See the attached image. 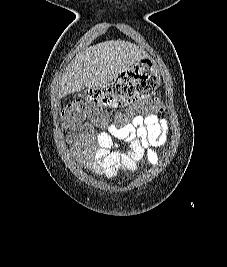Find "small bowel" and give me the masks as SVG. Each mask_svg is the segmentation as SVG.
Instances as JSON below:
<instances>
[{"label":"small bowel","mask_w":227,"mask_h":267,"mask_svg":"<svg viewBox=\"0 0 227 267\" xmlns=\"http://www.w3.org/2000/svg\"><path fill=\"white\" fill-rule=\"evenodd\" d=\"M167 137L168 123L157 115L135 116L96 132L84 124L70 138L71 154L96 176L112 180L119 172H135L142 160L158 164L160 158L154 149L163 146ZM114 139L123 141L126 149L118 150Z\"/></svg>","instance_id":"obj_1"}]
</instances>
